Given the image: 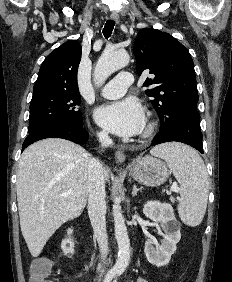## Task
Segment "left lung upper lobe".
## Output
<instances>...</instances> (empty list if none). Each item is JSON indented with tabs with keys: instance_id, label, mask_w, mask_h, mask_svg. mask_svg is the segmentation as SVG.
<instances>
[{
	"instance_id": "5c2ea615",
	"label": "left lung upper lobe",
	"mask_w": 232,
	"mask_h": 282,
	"mask_svg": "<svg viewBox=\"0 0 232 282\" xmlns=\"http://www.w3.org/2000/svg\"><path fill=\"white\" fill-rule=\"evenodd\" d=\"M133 53L137 73L149 72L143 86H152L146 94L159 118L167 116L177 105L197 107L198 92L193 60L189 51L175 38L154 29H142L135 40Z\"/></svg>"
}]
</instances>
